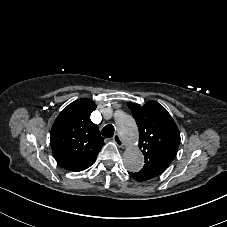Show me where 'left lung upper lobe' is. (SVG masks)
<instances>
[{
  "instance_id": "left-lung-upper-lobe-1",
  "label": "left lung upper lobe",
  "mask_w": 227,
  "mask_h": 227,
  "mask_svg": "<svg viewBox=\"0 0 227 227\" xmlns=\"http://www.w3.org/2000/svg\"><path fill=\"white\" fill-rule=\"evenodd\" d=\"M139 129V148L145 165L135 174L143 179H152L163 173L177 154L180 144L179 130L159 103L149 101L140 106L128 103Z\"/></svg>"
}]
</instances>
